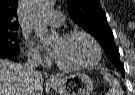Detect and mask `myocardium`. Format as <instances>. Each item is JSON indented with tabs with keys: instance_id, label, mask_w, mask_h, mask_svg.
I'll return each instance as SVG.
<instances>
[{
	"instance_id": "obj_1",
	"label": "myocardium",
	"mask_w": 135,
	"mask_h": 95,
	"mask_svg": "<svg viewBox=\"0 0 135 95\" xmlns=\"http://www.w3.org/2000/svg\"><path fill=\"white\" fill-rule=\"evenodd\" d=\"M77 35L86 37L92 43V45L95 49V57L90 62H87L84 64H79V65H67V64L61 63L57 60L56 63L61 69L70 70V71L88 69V68H91V67L97 65L102 59V48H101L99 42L97 41V39L89 32L84 31V30L75 29V30L65 32L63 34V37L69 38V37H73V36H77Z\"/></svg>"
}]
</instances>
